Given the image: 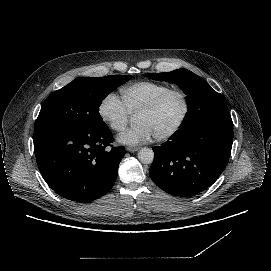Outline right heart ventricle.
I'll return each instance as SVG.
<instances>
[{
    "label": "right heart ventricle",
    "instance_id": "1",
    "mask_svg": "<svg viewBox=\"0 0 271 271\" xmlns=\"http://www.w3.org/2000/svg\"><path fill=\"white\" fill-rule=\"evenodd\" d=\"M171 88L169 84L154 81H138L121 88L122 101L130 114L151 103L157 96Z\"/></svg>",
    "mask_w": 271,
    "mask_h": 271
}]
</instances>
